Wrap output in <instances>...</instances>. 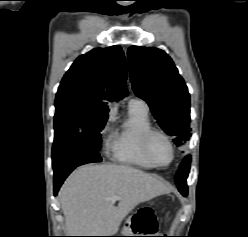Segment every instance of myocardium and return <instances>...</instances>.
<instances>
[{
    "label": "myocardium",
    "mask_w": 248,
    "mask_h": 237,
    "mask_svg": "<svg viewBox=\"0 0 248 237\" xmlns=\"http://www.w3.org/2000/svg\"><path fill=\"white\" fill-rule=\"evenodd\" d=\"M154 136H161L163 139H165V141L169 144L170 149H171V158L169 160L168 163H166L165 165H161L158 164L157 162L154 161V159L151 156L150 153V142L151 139ZM142 151L145 155V157L147 158V160L155 167L158 169H162V168H166L169 165H171V163L173 162L174 158H175V146L170 138V136L168 134H166L164 131L161 130H157V129H150L148 131H146L142 137Z\"/></svg>",
    "instance_id": "obj_1"
}]
</instances>
